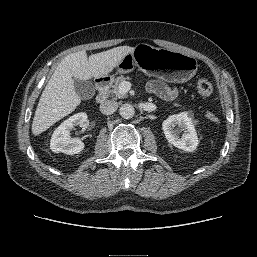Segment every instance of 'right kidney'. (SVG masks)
<instances>
[{
	"instance_id": "right-kidney-1",
	"label": "right kidney",
	"mask_w": 257,
	"mask_h": 257,
	"mask_svg": "<svg viewBox=\"0 0 257 257\" xmlns=\"http://www.w3.org/2000/svg\"><path fill=\"white\" fill-rule=\"evenodd\" d=\"M87 114L84 112L77 113L64 122H62L53 132L50 149L54 153H65L74 155L80 153L84 149V143L80 138H72L70 131L74 126H85Z\"/></svg>"
}]
</instances>
